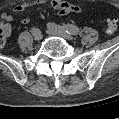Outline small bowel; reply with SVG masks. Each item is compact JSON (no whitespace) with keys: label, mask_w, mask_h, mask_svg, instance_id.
<instances>
[{"label":"small bowel","mask_w":119,"mask_h":119,"mask_svg":"<svg viewBox=\"0 0 119 119\" xmlns=\"http://www.w3.org/2000/svg\"><path fill=\"white\" fill-rule=\"evenodd\" d=\"M51 4L61 14L78 13L81 11L79 6H77L75 4L68 3L66 1H62V0H53L51 2ZM27 7H28L27 3L19 4L14 8V12L21 13V12L25 11L27 9ZM2 19L6 22L3 25L7 29V37H8L11 33V26H10L9 22L13 21L14 17L12 15H9V14H3ZM28 22H29L28 18H23L21 20L22 24H27Z\"/></svg>","instance_id":"obj_1"}]
</instances>
